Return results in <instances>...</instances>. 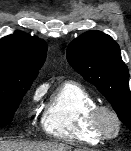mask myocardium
I'll return each instance as SVG.
<instances>
[{
  "mask_svg": "<svg viewBox=\"0 0 131 151\" xmlns=\"http://www.w3.org/2000/svg\"><path fill=\"white\" fill-rule=\"evenodd\" d=\"M110 118L115 124L114 131H110L104 124V119ZM89 125L93 131L103 139L116 138L122 129V121L118 113L108 105H96L89 113Z\"/></svg>",
  "mask_w": 131,
  "mask_h": 151,
  "instance_id": "1",
  "label": "myocardium"
}]
</instances>
